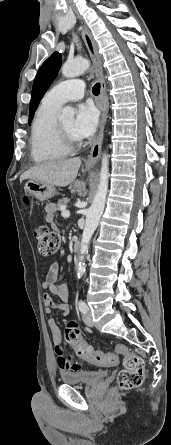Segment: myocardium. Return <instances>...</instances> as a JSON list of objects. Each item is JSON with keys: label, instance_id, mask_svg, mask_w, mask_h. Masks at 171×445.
I'll list each match as a JSON object with an SVG mask.
<instances>
[{"label": "myocardium", "instance_id": "myocardium-1", "mask_svg": "<svg viewBox=\"0 0 171 445\" xmlns=\"http://www.w3.org/2000/svg\"><path fill=\"white\" fill-rule=\"evenodd\" d=\"M55 134L57 136V139L60 143V145L67 151H73L77 148H79L82 145L81 140H75L71 138L65 130L61 127L60 123L58 121H55Z\"/></svg>", "mask_w": 171, "mask_h": 445}]
</instances>
